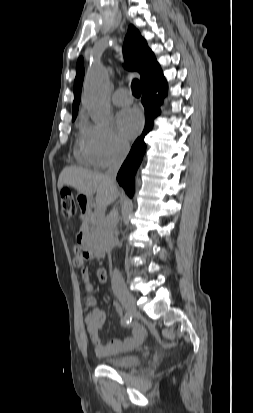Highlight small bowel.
I'll list each match as a JSON object with an SVG mask.
<instances>
[{
    "label": "small bowel",
    "instance_id": "1",
    "mask_svg": "<svg viewBox=\"0 0 253 413\" xmlns=\"http://www.w3.org/2000/svg\"><path fill=\"white\" fill-rule=\"evenodd\" d=\"M75 258L73 259V265L75 268L80 269L83 283L88 292L93 291V285L89 279V272L86 263L91 258L86 254L84 249L80 246L74 248ZM96 277L100 284L105 283L107 279V271L105 268L100 267L96 271ZM97 299L92 294L88 295L86 303L88 306H94ZM117 310L119 307L115 306ZM85 326L89 335L90 342L98 356H111L118 353L132 350L139 346L146 337L145 329L139 324L132 325L131 334L124 340L114 339L103 343L100 337V331L105 323V313L97 308L89 311L84 317ZM123 325H126L122 322Z\"/></svg>",
    "mask_w": 253,
    "mask_h": 413
}]
</instances>
